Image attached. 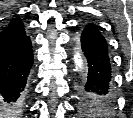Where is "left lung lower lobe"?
<instances>
[{
	"label": "left lung lower lobe",
	"mask_w": 133,
	"mask_h": 118,
	"mask_svg": "<svg viewBox=\"0 0 133 118\" xmlns=\"http://www.w3.org/2000/svg\"><path fill=\"white\" fill-rule=\"evenodd\" d=\"M82 51L87 60L88 72L81 87L97 97L115 100L111 81V59L107 41L95 25H87L78 36ZM104 110H102V113Z\"/></svg>",
	"instance_id": "1"
}]
</instances>
